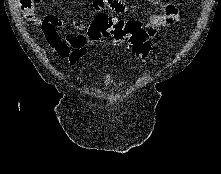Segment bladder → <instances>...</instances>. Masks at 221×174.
Wrapping results in <instances>:
<instances>
[{"label":"bladder","instance_id":"bladder-1","mask_svg":"<svg viewBox=\"0 0 221 174\" xmlns=\"http://www.w3.org/2000/svg\"><path fill=\"white\" fill-rule=\"evenodd\" d=\"M104 82L107 86L111 85L113 82H114V76L112 74H107L105 77H104Z\"/></svg>","mask_w":221,"mask_h":174}]
</instances>
